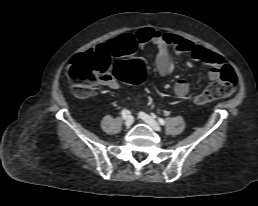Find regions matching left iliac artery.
I'll list each match as a JSON object with an SVG mask.
<instances>
[{
  "mask_svg": "<svg viewBox=\"0 0 258 206\" xmlns=\"http://www.w3.org/2000/svg\"><path fill=\"white\" fill-rule=\"evenodd\" d=\"M152 116L155 117V115H154L153 113H152ZM158 120H159V123H160L161 125H165V120H164V119L159 118Z\"/></svg>",
  "mask_w": 258,
  "mask_h": 206,
  "instance_id": "obj_1",
  "label": "left iliac artery"
}]
</instances>
